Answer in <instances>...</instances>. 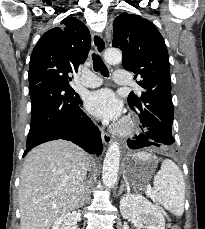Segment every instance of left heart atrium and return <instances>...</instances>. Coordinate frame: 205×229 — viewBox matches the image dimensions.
I'll list each match as a JSON object with an SVG mask.
<instances>
[{
    "mask_svg": "<svg viewBox=\"0 0 205 229\" xmlns=\"http://www.w3.org/2000/svg\"><path fill=\"white\" fill-rule=\"evenodd\" d=\"M85 107L91 114L109 121L117 120L122 111L118 97L109 89L89 93L85 99Z\"/></svg>",
    "mask_w": 205,
    "mask_h": 229,
    "instance_id": "39dd6f15",
    "label": "left heart atrium"
}]
</instances>
